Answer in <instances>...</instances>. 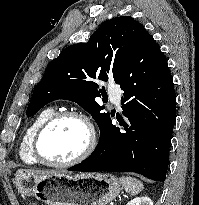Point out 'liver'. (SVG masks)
Masks as SVG:
<instances>
[{
  "label": "liver",
  "mask_w": 199,
  "mask_h": 205,
  "mask_svg": "<svg viewBox=\"0 0 199 205\" xmlns=\"http://www.w3.org/2000/svg\"><path fill=\"white\" fill-rule=\"evenodd\" d=\"M18 172H26L31 175H45V174H54V173H62V171H40V170H19Z\"/></svg>",
  "instance_id": "liver-1"
}]
</instances>
